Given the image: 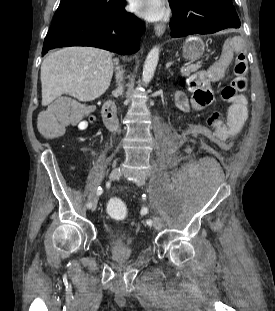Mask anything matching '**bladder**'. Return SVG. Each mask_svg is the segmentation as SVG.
Listing matches in <instances>:
<instances>
[{"instance_id": "obj_1", "label": "bladder", "mask_w": 275, "mask_h": 311, "mask_svg": "<svg viewBox=\"0 0 275 311\" xmlns=\"http://www.w3.org/2000/svg\"><path fill=\"white\" fill-rule=\"evenodd\" d=\"M110 234H111L112 236H116V235H117L116 232H114V231H110Z\"/></svg>"}]
</instances>
